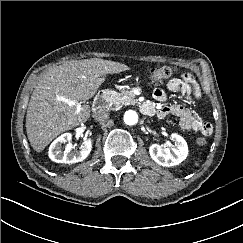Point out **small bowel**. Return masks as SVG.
<instances>
[{"label":"small bowel","mask_w":243,"mask_h":243,"mask_svg":"<svg viewBox=\"0 0 243 243\" xmlns=\"http://www.w3.org/2000/svg\"><path fill=\"white\" fill-rule=\"evenodd\" d=\"M167 90L182 95L186 100L198 98L200 96L197 84L192 76L186 74L183 77H176L167 83ZM153 98L157 102H164L167 99V93L162 88H155ZM144 105L148 110H143L148 115L156 114L159 118L167 115H176L179 118L180 126L184 130H193L200 132L204 136L212 134V125L198 116L193 110L181 104L157 107L153 102H146Z\"/></svg>","instance_id":"obj_1"}]
</instances>
